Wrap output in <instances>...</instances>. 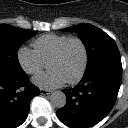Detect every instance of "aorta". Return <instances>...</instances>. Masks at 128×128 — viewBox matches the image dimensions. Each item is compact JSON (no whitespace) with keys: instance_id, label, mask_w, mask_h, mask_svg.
<instances>
[{"instance_id":"aorta-1","label":"aorta","mask_w":128,"mask_h":128,"mask_svg":"<svg viewBox=\"0 0 128 128\" xmlns=\"http://www.w3.org/2000/svg\"><path fill=\"white\" fill-rule=\"evenodd\" d=\"M50 102L55 108H63L66 104V95L62 91H54L50 96Z\"/></svg>"}]
</instances>
